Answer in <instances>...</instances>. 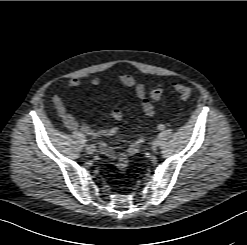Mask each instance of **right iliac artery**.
Masks as SVG:
<instances>
[{
  "instance_id": "right-iliac-artery-1",
  "label": "right iliac artery",
  "mask_w": 247,
  "mask_h": 245,
  "mask_svg": "<svg viewBox=\"0 0 247 245\" xmlns=\"http://www.w3.org/2000/svg\"><path fill=\"white\" fill-rule=\"evenodd\" d=\"M91 149L95 150L96 146L94 144L89 146Z\"/></svg>"
}]
</instances>
